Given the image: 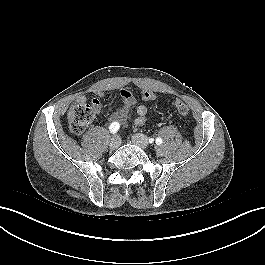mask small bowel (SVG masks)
<instances>
[{"label": "small bowel", "instance_id": "c3829d8e", "mask_svg": "<svg viewBox=\"0 0 265 265\" xmlns=\"http://www.w3.org/2000/svg\"><path fill=\"white\" fill-rule=\"evenodd\" d=\"M99 95H101V93H99ZM120 95L122 98V105L118 109L113 111L109 116V120L112 123L113 122H117V123L124 122L127 118L129 110L136 103V98L130 90L123 89L120 91ZM77 100L78 102H83L85 99L84 97H79ZM93 100H95L98 103V106L100 107V101L97 99H93ZM136 112H137V116L134 120L135 125L136 126L144 125L147 120V113H148L147 107L145 105H139L136 109Z\"/></svg>", "mask_w": 265, "mask_h": 265}]
</instances>
